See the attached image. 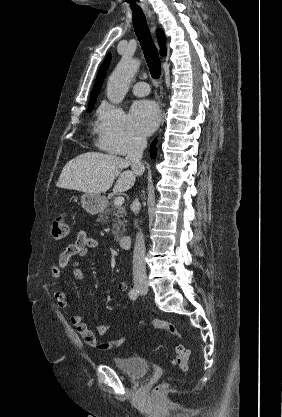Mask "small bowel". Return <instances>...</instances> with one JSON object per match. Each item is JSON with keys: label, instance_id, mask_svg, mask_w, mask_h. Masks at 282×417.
Instances as JSON below:
<instances>
[{"label": "small bowel", "instance_id": "obj_1", "mask_svg": "<svg viewBox=\"0 0 282 417\" xmlns=\"http://www.w3.org/2000/svg\"><path fill=\"white\" fill-rule=\"evenodd\" d=\"M98 246L99 242L97 239L90 236L86 231L80 230L77 234L75 243L58 255L57 260L51 269L52 277L56 280L60 279L67 271L68 267H71L74 279L81 282L83 280V272L80 269V263L77 258L86 255L89 249H96ZM74 257L76 258L73 259ZM116 289L121 293H125L128 291V285L127 283L121 281L116 284ZM53 298L59 308L66 309L68 307L67 296L63 290L56 289L53 292ZM71 323L82 338L83 342L94 351L100 353L115 351L128 337V332L123 333L118 338L109 340H100L97 337L105 336L113 330L116 326L114 321L98 324L93 330H91L84 322L83 316L81 314H75L71 317Z\"/></svg>", "mask_w": 282, "mask_h": 417}]
</instances>
